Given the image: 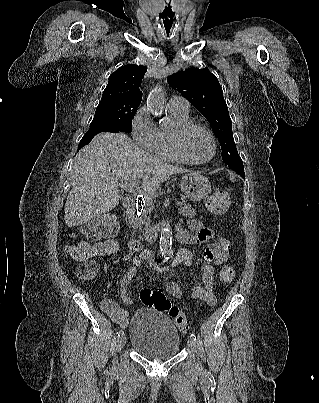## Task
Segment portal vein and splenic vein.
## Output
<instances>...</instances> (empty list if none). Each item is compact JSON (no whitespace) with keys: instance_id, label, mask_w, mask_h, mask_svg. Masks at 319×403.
Instances as JSON below:
<instances>
[{"instance_id":"18ae733b","label":"portal vein and splenic vein","mask_w":319,"mask_h":403,"mask_svg":"<svg viewBox=\"0 0 319 403\" xmlns=\"http://www.w3.org/2000/svg\"><path fill=\"white\" fill-rule=\"evenodd\" d=\"M138 182H139V180H135L132 182H124L121 184V186L124 187L129 192L136 193V194H143L145 196V198H149L150 197L149 193H144L139 189ZM146 192H148V191H146ZM147 201L152 202L151 199H149ZM181 205H182V202H180V201L176 202V206H181Z\"/></svg>"}]
</instances>
